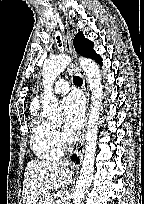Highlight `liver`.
Wrapping results in <instances>:
<instances>
[{
	"mask_svg": "<svg viewBox=\"0 0 144 204\" xmlns=\"http://www.w3.org/2000/svg\"><path fill=\"white\" fill-rule=\"evenodd\" d=\"M72 179L68 162L31 160L23 180V203L37 204L40 196L50 189L67 187Z\"/></svg>",
	"mask_w": 144,
	"mask_h": 204,
	"instance_id": "6515ba94",
	"label": "liver"
}]
</instances>
